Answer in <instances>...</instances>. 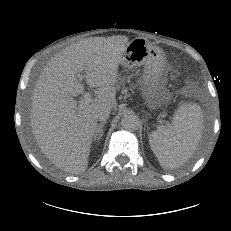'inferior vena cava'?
Returning <instances> with one entry per match:
<instances>
[{"label":"inferior vena cava","instance_id":"inferior-vena-cava-1","mask_svg":"<svg viewBox=\"0 0 231 231\" xmlns=\"http://www.w3.org/2000/svg\"><path fill=\"white\" fill-rule=\"evenodd\" d=\"M112 108L110 106H103L96 112V119L99 121H106L110 115Z\"/></svg>","mask_w":231,"mask_h":231}]
</instances>
